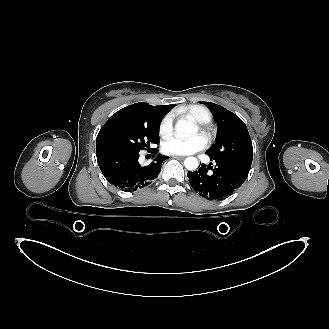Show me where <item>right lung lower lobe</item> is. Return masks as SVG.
<instances>
[{
  "label": "right lung lower lobe",
  "mask_w": 329,
  "mask_h": 329,
  "mask_svg": "<svg viewBox=\"0 0 329 329\" xmlns=\"http://www.w3.org/2000/svg\"><path fill=\"white\" fill-rule=\"evenodd\" d=\"M157 149H152L155 153ZM97 162L107 181L123 191H136L150 185L168 156L157 155L149 165L139 164V150L101 148Z\"/></svg>",
  "instance_id": "1"
}]
</instances>
